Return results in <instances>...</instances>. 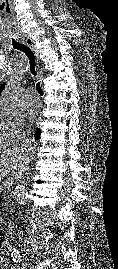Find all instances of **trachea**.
<instances>
[{"label": "trachea", "instance_id": "obj_1", "mask_svg": "<svg viewBox=\"0 0 118 269\" xmlns=\"http://www.w3.org/2000/svg\"><path fill=\"white\" fill-rule=\"evenodd\" d=\"M12 45H13V47L15 49H18V50L24 52L27 55V57H28V59L30 61V72L34 76H36V74H37V72H36V59H35L34 52L31 50V48L28 47L27 45L23 44V43L17 42L14 39L12 40ZM36 89H37V91H38V93L40 95H43V90L41 88L40 82H38L36 84Z\"/></svg>", "mask_w": 118, "mask_h": 269}]
</instances>
